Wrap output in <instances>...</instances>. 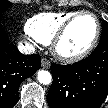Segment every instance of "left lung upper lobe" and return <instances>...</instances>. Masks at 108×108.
Returning <instances> with one entry per match:
<instances>
[{
    "mask_svg": "<svg viewBox=\"0 0 108 108\" xmlns=\"http://www.w3.org/2000/svg\"><path fill=\"white\" fill-rule=\"evenodd\" d=\"M99 45L108 47V23L106 21H103L102 35Z\"/></svg>",
    "mask_w": 108,
    "mask_h": 108,
    "instance_id": "obj_1",
    "label": "left lung upper lobe"
}]
</instances>
